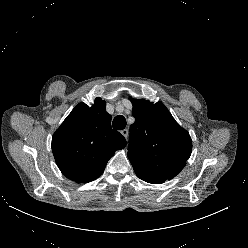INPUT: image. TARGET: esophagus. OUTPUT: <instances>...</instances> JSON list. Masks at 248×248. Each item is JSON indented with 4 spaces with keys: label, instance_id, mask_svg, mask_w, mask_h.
<instances>
[{
    "label": "esophagus",
    "instance_id": "esophagus-1",
    "mask_svg": "<svg viewBox=\"0 0 248 248\" xmlns=\"http://www.w3.org/2000/svg\"><path fill=\"white\" fill-rule=\"evenodd\" d=\"M121 134H122L125 138H127V137H128V129H123V130H121Z\"/></svg>",
    "mask_w": 248,
    "mask_h": 248
}]
</instances>
